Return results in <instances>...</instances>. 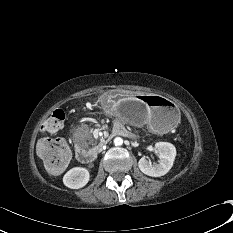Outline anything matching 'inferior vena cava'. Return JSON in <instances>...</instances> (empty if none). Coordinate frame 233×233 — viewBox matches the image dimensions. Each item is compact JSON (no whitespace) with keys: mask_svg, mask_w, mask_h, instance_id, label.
<instances>
[{"mask_svg":"<svg viewBox=\"0 0 233 233\" xmlns=\"http://www.w3.org/2000/svg\"><path fill=\"white\" fill-rule=\"evenodd\" d=\"M98 151L101 152L102 151V146L98 148Z\"/></svg>","mask_w":233,"mask_h":233,"instance_id":"1","label":"inferior vena cava"}]
</instances>
